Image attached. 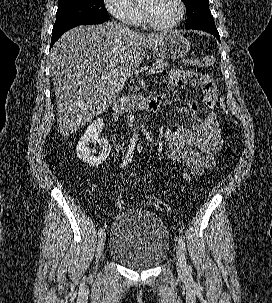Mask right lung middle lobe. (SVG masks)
<instances>
[{
  "label": "right lung middle lobe",
  "mask_w": 272,
  "mask_h": 303,
  "mask_svg": "<svg viewBox=\"0 0 272 303\" xmlns=\"http://www.w3.org/2000/svg\"><path fill=\"white\" fill-rule=\"evenodd\" d=\"M104 0H59L53 29L80 22L109 20Z\"/></svg>",
  "instance_id": "obj_1"
}]
</instances>
